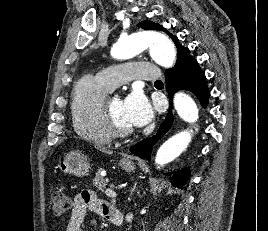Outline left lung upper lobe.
<instances>
[{"label": "left lung upper lobe", "mask_w": 268, "mask_h": 231, "mask_svg": "<svg viewBox=\"0 0 268 231\" xmlns=\"http://www.w3.org/2000/svg\"><path fill=\"white\" fill-rule=\"evenodd\" d=\"M139 26H141L143 29H147V30H159V31L165 32L166 34H168L171 37L172 41L176 45V48H177L176 65L172 69H168L166 71H172V70H176V69L180 68L181 66L184 65V63L186 62L187 59L192 57L190 55L189 49L187 47L182 46L179 42V39L176 36L169 33L162 25H159V24L154 23V22L149 21V20H145V21H142L139 24Z\"/></svg>", "instance_id": "obj_1"}]
</instances>
